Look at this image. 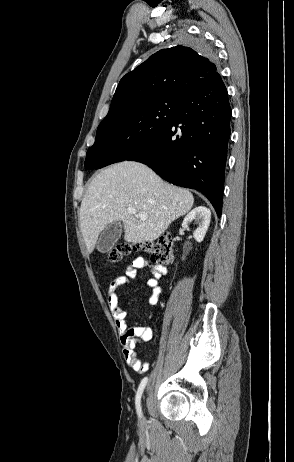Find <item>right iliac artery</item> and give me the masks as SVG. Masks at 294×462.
<instances>
[{
    "instance_id": "82829eb1",
    "label": "right iliac artery",
    "mask_w": 294,
    "mask_h": 462,
    "mask_svg": "<svg viewBox=\"0 0 294 462\" xmlns=\"http://www.w3.org/2000/svg\"><path fill=\"white\" fill-rule=\"evenodd\" d=\"M147 381H148L147 377L142 379V381H141V383H140V385L138 387L137 393H136L135 404H136V409H137V413H138L139 417H141V415H142L141 405H140L141 396H142L144 388H145V386L147 384Z\"/></svg>"
}]
</instances>
